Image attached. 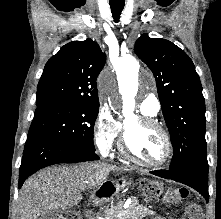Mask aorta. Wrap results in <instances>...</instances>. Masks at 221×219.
I'll list each match as a JSON object with an SVG mask.
<instances>
[{
    "label": "aorta",
    "mask_w": 221,
    "mask_h": 219,
    "mask_svg": "<svg viewBox=\"0 0 221 219\" xmlns=\"http://www.w3.org/2000/svg\"><path fill=\"white\" fill-rule=\"evenodd\" d=\"M117 74L122 73L124 80L135 79L139 64L134 57L122 58L115 67ZM101 91L104 97H108L111 102L116 99L114 80L110 75H104L101 79ZM136 85L132 86L128 91L123 93L122 112L125 117L134 116V96L136 94Z\"/></svg>",
    "instance_id": "aorta-1"
}]
</instances>
